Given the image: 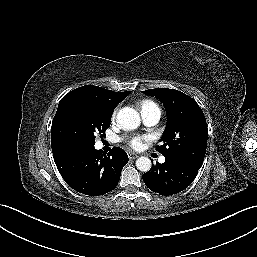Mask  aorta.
I'll return each mask as SVG.
<instances>
[{
	"label": "aorta",
	"mask_w": 257,
	"mask_h": 257,
	"mask_svg": "<svg viewBox=\"0 0 257 257\" xmlns=\"http://www.w3.org/2000/svg\"><path fill=\"white\" fill-rule=\"evenodd\" d=\"M117 122L123 129L133 130L140 125L141 119L139 113L135 109L124 107L120 109L117 114ZM151 165V160L148 157L142 156L136 160V167L142 172H148Z\"/></svg>",
	"instance_id": "762f6f07"
}]
</instances>
